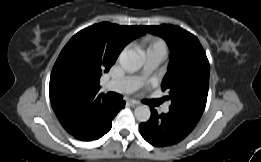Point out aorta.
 <instances>
[{"label":"aorta","instance_id":"762f6f07","mask_svg":"<svg viewBox=\"0 0 261 162\" xmlns=\"http://www.w3.org/2000/svg\"><path fill=\"white\" fill-rule=\"evenodd\" d=\"M119 63L122 69L127 72H136L143 65V59L140 53L135 50L124 51L119 56ZM135 118L140 122H147L150 119L151 112L147 105H140L134 110Z\"/></svg>","mask_w":261,"mask_h":162}]
</instances>
